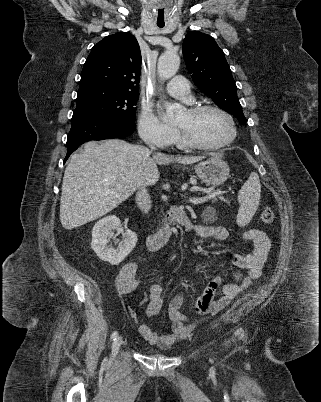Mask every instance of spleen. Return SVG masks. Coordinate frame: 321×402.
<instances>
[{"mask_svg":"<svg viewBox=\"0 0 321 402\" xmlns=\"http://www.w3.org/2000/svg\"><path fill=\"white\" fill-rule=\"evenodd\" d=\"M260 193L261 184L259 176L256 172H252L238 193L240 204L236 218L238 226H246L251 221L259 206Z\"/></svg>","mask_w":321,"mask_h":402,"instance_id":"obj_1","label":"spleen"}]
</instances>
